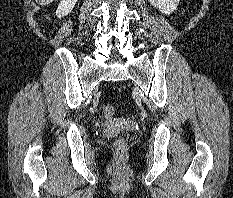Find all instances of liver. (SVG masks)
I'll return each mask as SVG.
<instances>
[{
  "label": "liver",
  "mask_w": 233,
  "mask_h": 198,
  "mask_svg": "<svg viewBox=\"0 0 233 198\" xmlns=\"http://www.w3.org/2000/svg\"><path fill=\"white\" fill-rule=\"evenodd\" d=\"M53 1L54 0H36V2L39 3L40 5H48Z\"/></svg>",
  "instance_id": "6515ba94"
}]
</instances>
